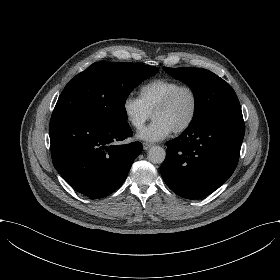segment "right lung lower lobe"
I'll use <instances>...</instances> for the list:
<instances>
[{"instance_id":"obj_1","label":"right lung lower lobe","mask_w":280,"mask_h":280,"mask_svg":"<svg viewBox=\"0 0 280 280\" xmlns=\"http://www.w3.org/2000/svg\"><path fill=\"white\" fill-rule=\"evenodd\" d=\"M49 134L54 167L72 188L90 198L117 190L142 151L140 142L117 145L133 135L128 123L59 113L52 114Z\"/></svg>"}]
</instances>
